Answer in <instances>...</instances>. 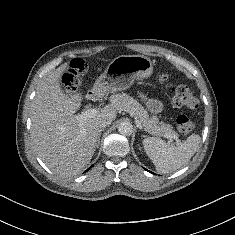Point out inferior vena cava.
Segmentation results:
<instances>
[{
	"label": "inferior vena cava",
	"instance_id": "obj_1",
	"mask_svg": "<svg viewBox=\"0 0 235 235\" xmlns=\"http://www.w3.org/2000/svg\"><path fill=\"white\" fill-rule=\"evenodd\" d=\"M111 120L110 119H102L99 121L98 123V128L99 129H104L106 128L107 126H109L111 124Z\"/></svg>",
	"mask_w": 235,
	"mask_h": 235
}]
</instances>
